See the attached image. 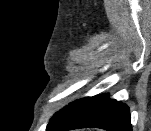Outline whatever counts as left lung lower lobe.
<instances>
[{
  "label": "left lung lower lobe",
  "mask_w": 151,
  "mask_h": 131,
  "mask_svg": "<svg viewBox=\"0 0 151 131\" xmlns=\"http://www.w3.org/2000/svg\"><path fill=\"white\" fill-rule=\"evenodd\" d=\"M129 108L108 95L86 97L70 103L57 112L46 131H68L79 128H101L107 131H132Z\"/></svg>",
  "instance_id": "obj_1"
}]
</instances>
